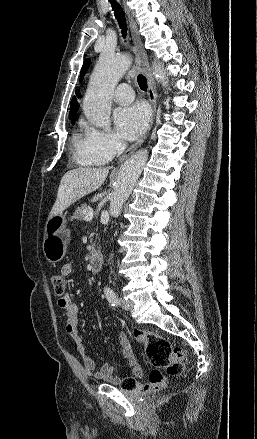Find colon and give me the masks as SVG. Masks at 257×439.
I'll list each match as a JSON object with an SVG mask.
<instances>
[{"label":"colon","instance_id":"5ec220e1","mask_svg":"<svg viewBox=\"0 0 257 439\" xmlns=\"http://www.w3.org/2000/svg\"><path fill=\"white\" fill-rule=\"evenodd\" d=\"M51 283L55 295L63 297L66 291L64 277L55 274L51 278ZM134 335L143 343L147 359L154 369L144 385L133 378H125L121 384L123 390L157 391L164 386L167 376H177L183 372L185 356L180 348L174 347L167 339L151 332L135 330Z\"/></svg>","mask_w":257,"mask_h":439}]
</instances>
